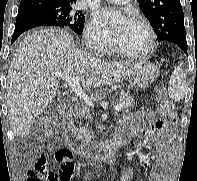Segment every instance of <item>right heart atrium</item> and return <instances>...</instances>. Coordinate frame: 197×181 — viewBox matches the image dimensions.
<instances>
[{"label": "right heart atrium", "mask_w": 197, "mask_h": 181, "mask_svg": "<svg viewBox=\"0 0 197 181\" xmlns=\"http://www.w3.org/2000/svg\"><path fill=\"white\" fill-rule=\"evenodd\" d=\"M85 39L92 48L98 51H106L111 44L109 35L95 19H91L86 25Z\"/></svg>", "instance_id": "1"}]
</instances>
